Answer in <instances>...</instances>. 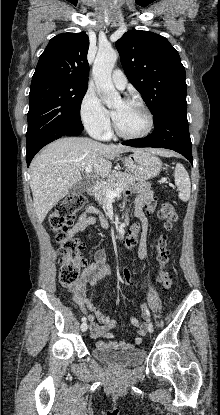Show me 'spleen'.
<instances>
[{
  "label": "spleen",
  "instance_id": "1",
  "mask_svg": "<svg viewBox=\"0 0 220 415\" xmlns=\"http://www.w3.org/2000/svg\"><path fill=\"white\" fill-rule=\"evenodd\" d=\"M175 184L179 189V198L182 201H188L191 193V182L185 167L178 163L174 172Z\"/></svg>",
  "mask_w": 220,
  "mask_h": 415
}]
</instances>
